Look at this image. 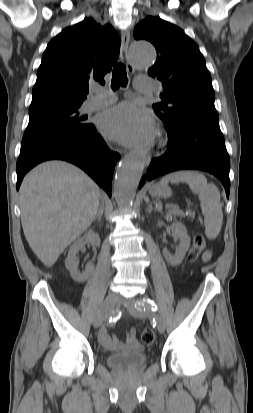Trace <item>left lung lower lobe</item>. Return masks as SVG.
I'll list each match as a JSON object with an SVG mask.
<instances>
[{
	"label": "left lung lower lobe",
	"mask_w": 253,
	"mask_h": 413,
	"mask_svg": "<svg viewBox=\"0 0 253 413\" xmlns=\"http://www.w3.org/2000/svg\"><path fill=\"white\" fill-rule=\"evenodd\" d=\"M168 150L153 159L140 182L182 169H199L216 176L224 185L227 197L230 191V160L219 121L191 118L168 126Z\"/></svg>",
	"instance_id": "obj_1"
}]
</instances>
